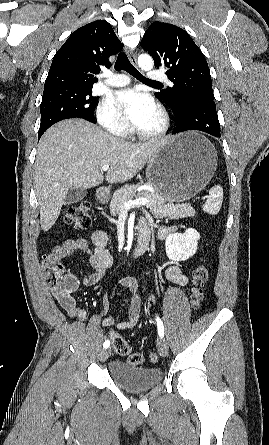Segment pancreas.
Listing matches in <instances>:
<instances>
[{
	"label": "pancreas",
	"mask_w": 269,
	"mask_h": 445,
	"mask_svg": "<svg viewBox=\"0 0 269 445\" xmlns=\"http://www.w3.org/2000/svg\"><path fill=\"white\" fill-rule=\"evenodd\" d=\"M137 187L138 185L134 184L125 185L113 194L110 202L111 215H118L120 210L123 209V203L133 200L134 197L148 198L149 203L146 204V206L150 209L155 218L179 219L193 217L195 214V210L192 208L191 204L174 205L171 202H167L161 195L147 191L136 195Z\"/></svg>",
	"instance_id": "obj_1"
}]
</instances>
